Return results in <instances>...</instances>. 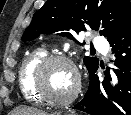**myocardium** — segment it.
<instances>
[{
  "label": "myocardium",
  "instance_id": "obj_1",
  "mask_svg": "<svg viewBox=\"0 0 131 115\" xmlns=\"http://www.w3.org/2000/svg\"><path fill=\"white\" fill-rule=\"evenodd\" d=\"M56 63H65L73 71L75 85L72 92L66 98H54L45 89V74L47 69ZM33 88L43 102L55 107H63L71 104L78 96L81 89V76L75 62L65 55L46 56L35 68L33 76Z\"/></svg>",
  "mask_w": 131,
  "mask_h": 115
}]
</instances>
